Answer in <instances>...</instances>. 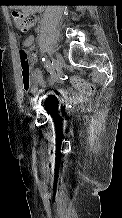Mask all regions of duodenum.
<instances>
[{"label":"duodenum","mask_w":122,"mask_h":218,"mask_svg":"<svg viewBox=\"0 0 122 218\" xmlns=\"http://www.w3.org/2000/svg\"><path fill=\"white\" fill-rule=\"evenodd\" d=\"M31 11H33V12H40V8H38V7H33V8H31Z\"/></svg>","instance_id":"duodenum-1"}]
</instances>
